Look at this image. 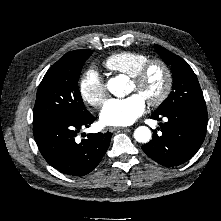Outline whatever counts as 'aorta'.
Here are the masks:
<instances>
[{
    "label": "aorta",
    "instance_id": "obj_1",
    "mask_svg": "<svg viewBox=\"0 0 221 221\" xmlns=\"http://www.w3.org/2000/svg\"><path fill=\"white\" fill-rule=\"evenodd\" d=\"M108 90L116 97L127 94V79L123 75L111 78L107 83ZM134 138L140 143H147L151 139V130L146 126H139L134 132Z\"/></svg>",
    "mask_w": 221,
    "mask_h": 221
}]
</instances>
